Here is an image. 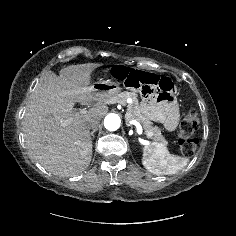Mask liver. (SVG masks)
<instances>
[{
    "mask_svg": "<svg viewBox=\"0 0 236 236\" xmlns=\"http://www.w3.org/2000/svg\"><path fill=\"white\" fill-rule=\"evenodd\" d=\"M101 65H71L61 69L59 76L48 71L30 96L22 121L25 144L32 158L54 175L74 176L91 162L87 124L91 119L101 120L108 111L101 105L105 98L88 86L92 72ZM76 102L98 106L77 113L73 110Z\"/></svg>",
    "mask_w": 236,
    "mask_h": 236,
    "instance_id": "obj_1",
    "label": "liver"
}]
</instances>
